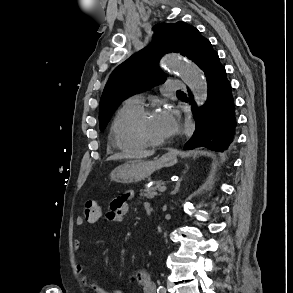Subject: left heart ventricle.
Segmentation results:
<instances>
[{
    "label": "left heart ventricle",
    "instance_id": "obj_1",
    "mask_svg": "<svg viewBox=\"0 0 293 293\" xmlns=\"http://www.w3.org/2000/svg\"><path fill=\"white\" fill-rule=\"evenodd\" d=\"M143 131L148 138L154 141L167 140L170 136L167 125L159 112L145 119Z\"/></svg>",
    "mask_w": 293,
    "mask_h": 293
}]
</instances>
